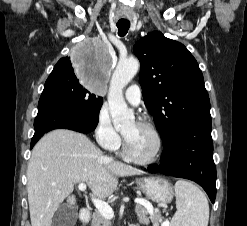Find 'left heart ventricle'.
<instances>
[{"instance_id": "left-heart-ventricle-1", "label": "left heart ventricle", "mask_w": 247, "mask_h": 226, "mask_svg": "<svg viewBox=\"0 0 247 226\" xmlns=\"http://www.w3.org/2000/svg\"><path fill=\"white\" fill-rule=\"evenodd\" d=\"M122 133L134 156L146 159L155 153L157 142L149 129L132 122L124 128Z\"/></svg>"}]
</instances>
